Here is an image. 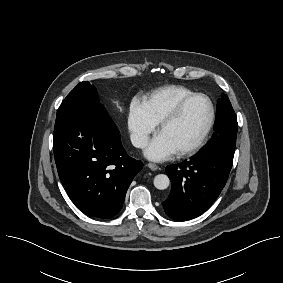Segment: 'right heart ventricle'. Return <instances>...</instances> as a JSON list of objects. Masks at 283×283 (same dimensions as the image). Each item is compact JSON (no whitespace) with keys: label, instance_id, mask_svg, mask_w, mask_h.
I'll list each match as a JSON object with an SVG mask.
<instances>
[{"label":"right heart ventricle","instance_id":"1","mask_svg":"<svg viewBox=\"0 0 283 283\" xmlns=\"http://www.w3.org/2000/svg\"><path fill=\"white\" fill-rule=\"evenodd\" d=\"M195 92L182 85H167L151 92L143 106L148 117L156 124L160 123L186 97Z\"/></svg>","mask_w":283,"mask_h":283}]
</instances>
